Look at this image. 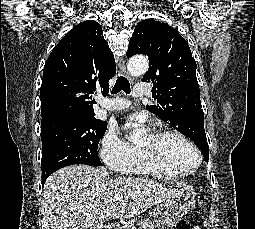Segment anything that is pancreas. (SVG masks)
Segmentation results:
<instances>
[{
  "label": "pancreas",
  "instance_id": "pancreas-1",
  "mask_svg": "<svg viewBox=\"0 0 255 229\" xmlns=\"http://www.w3.org/2000/svg\"><path fill=\"white\" fill-rule=\"evenodd\" d=\"M125 229H156V227L152 221L144 220L136 224L127 225Z\"/></svg>",
  "mask_w": 255,
  "mask_h": 229
}]
</instances>
